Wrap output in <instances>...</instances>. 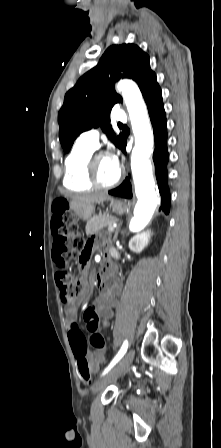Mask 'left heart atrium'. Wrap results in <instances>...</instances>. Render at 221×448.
I'll use <instances>...</instances> for the list:
<instances>
[{"mask_svg":"<svg viewBox=\"0 0 221 448\" xmlns=\"http://www.w3.org/2000/svg\"><path fill=\"white\" fill-rule=\"evenodd\" d=\"M111 162L116 171H120V163L117 156H111Z\"/></svg>","mask_w":221,"mask_h":448,"instance_id":"left-heart-atrium-1","label":"left heart atrium"}]
</instances>
